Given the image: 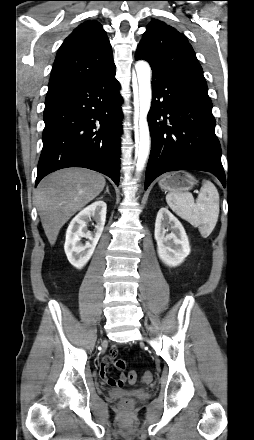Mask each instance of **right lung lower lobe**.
<instances>
[{"label":"right lung lower lobe","instance_id":"obj_1","mask_svg":"<svg viewBox=\"0 0 254 440\" xmlns=\"http://www.w3.org/2000/svg\"><path fill=\"white\" fill-rule=\"evenodd\" d=\"M115 69L47 92L36 185L47 174L84 167L119 183L122 97Z\"/></svg>","mask_w":254,"mask_h":440}]
</instances>
